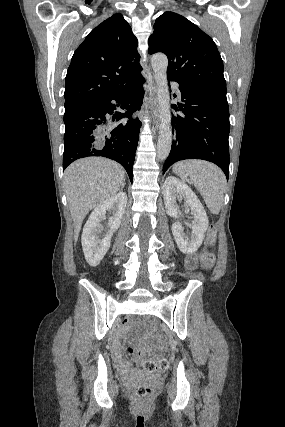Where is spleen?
Here are the masks:
<instances>
[{"label":"spleen","mask_w":285,"mask_h":427,"mask_svg":"<svg viewBox=\"0 0 285 427\" xmlns=\"http://www.w3.org/2000/svg\"><path fill=\"white\" fill-rule=\"evenodd\" d=\"M173 172L190 178L211 213L220 212L226 188V177L220 168L202 160H186L174 164Z\"/></svg>","instance_id":"3e777b00"}]
</instances>
